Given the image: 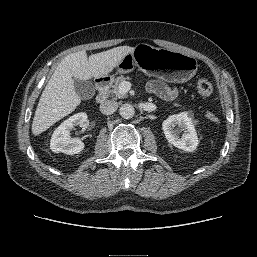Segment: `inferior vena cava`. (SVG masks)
Wrapping results in <instances>:
<instances>
[{
	"label": "inferior vena cava",
	"instance_id": "obj_1",
	"mask_svg": "<svg viewBox=\"0 0 257 257\" xmlns=\"http://www.w3.org/2000/svg\"><path fill=\"white\" fill-rule=\"evenodd\" d=\"M118 108V103L116 101L107 100L100 105L101 113L105 115L113 114Z\"/></svg>",
	"mask_w": 257,
	"mask_h": 257
}]
</instances>
